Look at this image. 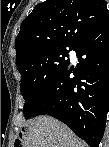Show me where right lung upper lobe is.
Wrapping results in <instances>:
<instances>
[{
  "label": "right lung upper lobe",
  "instance_id": "cb5924a9",
  "mask_svg": "<svg viewBox=\"0 0 109 147\" xmlns=\"http://www.w3.org/2000/svg\"><path fill=\"white\" fill-rule=\"evenodd\" d=\"M108 18L105 0H46L38 4L23 20L15 41L17 69L44 51L72 49Z\"/></svg>",
  "mask_w": 109,
  "mask_h": 147
}]
</instances>
